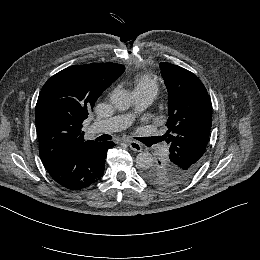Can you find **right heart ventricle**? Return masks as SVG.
<instances>
[{
    "label": "right heart ventricle",
    "instance_id": "obj_1",
    "mask_svg": "<svg viewBox=\"0 0 260 260\" xmlns=\"http://www.w3.org/2000/svg\"><path fill=\"white\" fill-rule=\"evenodd\" d=\"M132 92L147 93L155 96L159 90L158 82L145 72H135L131 82Z\"/></svg>",
    "mask_w": 260,
    "mask_h": 260
}]
</instances>
